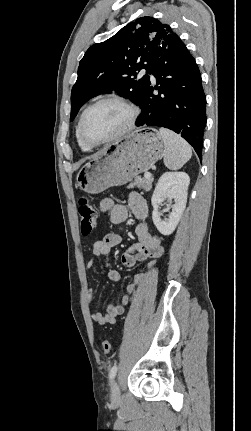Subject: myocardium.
Instances as JSON below:
<instances>
[{
  "mask_svg": "<svg viewBox=\"0 0 251 431\" xmlns=\"http://www.w3.org/2000/svg\"><path fill=\"white\" fill-rule=\"evenodd\" d=\"M107 102H113V103H117L122 105L123 107H125L128 111H129V119L126 123V125L116 134L98 141V142H93L91 140H89L84 133V121L85 118L87 116V114L96 106L102 104V103H107ZM139 115V110L137 108V106L132 103L131 101L118 96V95H107L104 97L99 98L98 100H96L95 102H93L92 104H90L81 114L80 119H79V123H78V131H79V136L80 139L82 140V142L93 148V147H98L107 143H111L113 141H116L120 138H122L123 136H125L126 134H128L135 126V123L137 121Z\"/></svg>",
  "mask_w": 251,
  "mask_h": 431,
  "instance_id": "1",
  "label": "myocardium"
}]
</instances>
